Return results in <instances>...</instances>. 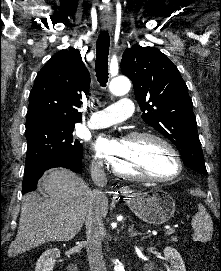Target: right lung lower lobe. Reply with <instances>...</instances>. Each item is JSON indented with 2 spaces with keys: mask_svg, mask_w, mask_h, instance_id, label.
Here are the masks:
<instances>
[{
  "mask_svg": "<svg viewBox=\"0 0 221 271\" xmlns=\"http://www.w3.org/2000/svg\"><path fill=\"white\" fill-rule=\"evenodd\" d=\"M83 154L67 160H50L28 164L25 166L24 178L22 184V193L33 191L37 187V182L45 170L53 167H64L71 169L74 172H79L81 169V161Z\"/></svg>",
  "mask_w": 221,
  "mask_h": 271,
  "instance_id": "1",
  "label": "right lung lower lobe"
}]
</instances>
